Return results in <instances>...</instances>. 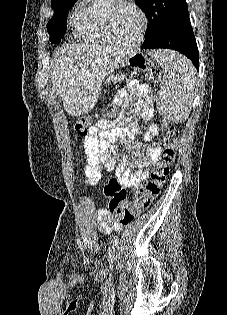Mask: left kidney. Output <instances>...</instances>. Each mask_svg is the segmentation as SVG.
<instances>
[{
	"instance_id": "5707ae66",
	"label": "left kidney",
	"mask_w": 227,
	"mask_h": 315,
	"mask_svg": "<svg viewBox=\"0 0 227 315\" xmlns=\"http://www.w3.org/2000/svg\"><path fill=\"white\" fill-rule=\"evenodd\" d=\"M158 134V127L155 124L150 125L147 132L144 134L145 141H151L152 138Z\"/></svg>"
}]
</instances>
